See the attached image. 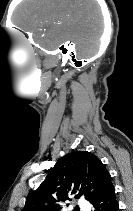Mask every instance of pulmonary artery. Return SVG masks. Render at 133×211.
<instances>
[{
  "mask_svg": "<svg viewBox=\"0 0 133 211\" xmlns=\"http://www.w3.org/2000/svg\"><path fill=\"white\" fill-rule=\"evenodd\" d=\"M77 204L82 211H89V204L84 199L78 200Z\"/></svg>",
  "mask_w": 133,
  "mask_h": 211,
  "instance_id": "pulmonary-artery-1",
  "label": "pulmonary artery"
}]
</instances>
